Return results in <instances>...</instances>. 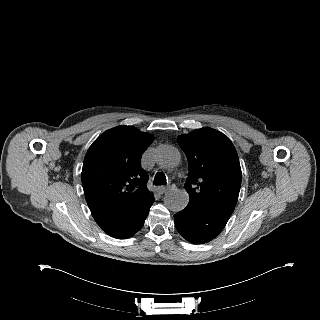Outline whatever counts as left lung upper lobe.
<instances>
[{"mask_svg":"<svg viewBox=\"0 0 320 320\" xmlns=\"http://www.w3.org/2000/svg\"><path fill=\"white\" fill-rule=\"evenodd\" d=\"M177 141L188 159L185 189L190 199L231 215L242 179L238 155L231 141L208 127L180 135Z\"/></svg>","mask_w":320,"mask_h":320,"instance_id":"5c2ea615","label":"left lung upper lobe"}]
</instances>
